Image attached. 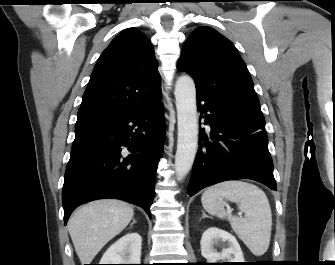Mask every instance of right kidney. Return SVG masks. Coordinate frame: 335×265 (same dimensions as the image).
Listing matches in <instances>:
<instances>
[{
    "label": "right kidney",
    "mask_w": 335,
    "mask_h": 265,
    "mask_svg": "<svg viewBox=\"0 0 335 265\" xmlns=\"http://www.w3.org/2000/svg\"><path fill=\"white\" fill-rule=\"evenodd\" d=\"M141 245L138 233H127L106 250L100 264H141Z\"/></svg>",
    "instance_id": "right-kidney-1"
}]
</instances>
